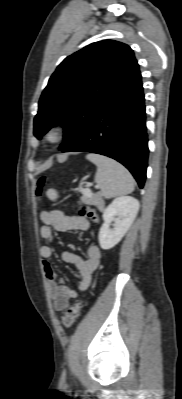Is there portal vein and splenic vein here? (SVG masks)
<instances>
[{"label":"portal vein and splenic vein","mask_w":182,"mask_h":399,"mask_svg":"<svg viewBox=\"0 0 182 399\" xmlns=\"http://www.w3.org/2000/svg\"><path fill=\"white\" fill-rule=\"evenodd\" d=\"M84 194H86V195H91L92 193H91V190H90V189H86V190L84 191Z\"/></svg>","instance_id":"portal-vein-and-splenic-vein-1"}]
</instances>
